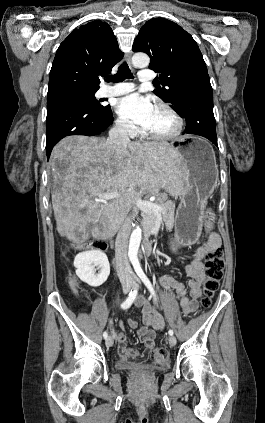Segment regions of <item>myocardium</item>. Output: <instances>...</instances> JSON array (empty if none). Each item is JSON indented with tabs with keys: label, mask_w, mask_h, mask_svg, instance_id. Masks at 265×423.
Segmentation results:
<instances>
[{
	"label": "myocardium",
	"mask_w": 265,
	"mask_h": 423,
	"mask_svg": "<svg viewBox=\"0 0 265 423\" xmlns=\"http://www.w3.org/2000/svg\"><path fill=\"white\" fill-rule=\"evenodd\" d=\"M156 107L168 113L174 119L176 127L172 132L165 134L151 132L144 128L145 134L156 140H171L180 136L184 129V120L179 113L166 103H158Z\"/></svg>",
	"instance_id": "myocardium-1"
}]
</instances>
